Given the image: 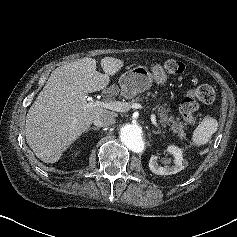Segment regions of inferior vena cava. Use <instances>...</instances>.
<instances>
[{
  "label": "inferior vena cava",
  "instance_id": "1",
  "mask_svg": "<svg viewBox=\"0 0 237 237\" xmlns=\"http://www.w3.org/2000/svg\"><path fill=\"white\" fill-rule=\"evenodd\" d=\"M116 122L115 118L111 114H102L94 120V125L97 127H106Z\"/></svg>",
  "mask_w": 237,
  "mask_h": 237
}]
</instances>
